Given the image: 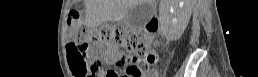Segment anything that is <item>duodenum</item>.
<instances>
[{
	"instance_id": "obj_1",
	"label": "duodenum",
	"mask_w": 258,
	"mask_h": 77,
	"mask_svg": "<svg viewBox=\"0 0 258 77\" xmlns=\"http://www.w3.org/2000/svg\"><path fill=\"white\" fill-rule=\"evenodd\" d=\"M156 27H157L156 20H154V19L151 20V21L149 22V30H150L151 32H155Z\"/></svg>"
}]
</instances>
